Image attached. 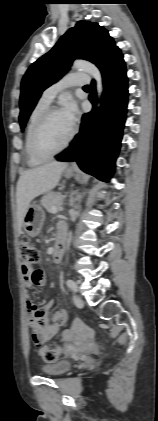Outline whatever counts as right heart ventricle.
<instances>
[{"instance_id":"right-heart-ventricle-1","label":"right heart ventricle","mask_w":158,"mask_h":421,"mask_svg":"<svg viewBox=\"0 0 158 421\" xmlns=\"http://www.w3.org/2000/svg\"><path fill=\"white\" fill-rule=\"evenodd\" d=\"M49 104L45 103L41 100H39L35 106L33 107V109L31 110L29 117H28V122H27V126H26V133H25V154H26V159H27V164L29 166H39L41 164H43L45 162L44 159L38 158L32 150L31 147V135H32V130L37 122V120L39 119V117L41 116V114L48 108Z\"/></svg>"}]
</instances>
